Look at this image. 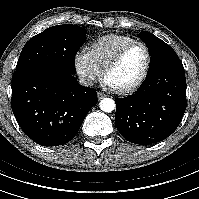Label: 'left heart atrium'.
Segmentation results:
<instances>
[{
    "mask_svg": "<svg viewBox=\"0 0 199 199\" xmlns=\"http://www.w3.org/2000/svg\"><path fill=\"white\" fill-rule=\"evenodd\" d=\"M104 84H105V86H107V87H111L110 84H109L106 80H104Z\"/></svg>",
    "mask_w": 199,
    "mask_h": 199,
    "instance_id": "39dd6f15",
    "label": "left heart atrium"
}]
</instances>
